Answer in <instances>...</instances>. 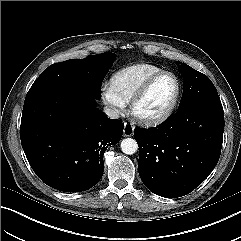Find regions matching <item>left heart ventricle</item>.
<instances>
[{
	"label": "left heart ventricle",
	"instance_id": "left-heart-ventricle-1",
	"mask_svg": "<svg viewBox=\"0 0 241 241\" xmlns=\"http://www.w3.org/2000/svg\"><path fill=\"white\" fill-rule=\"evenodd\" d=\"M176 92V82L171 76H163L151 87L137 107L139 114L153 116L161 113L171 103Z\"/></svg>",
	"mask_w": 241,
	"mask_h": 241
}]
</instances>
